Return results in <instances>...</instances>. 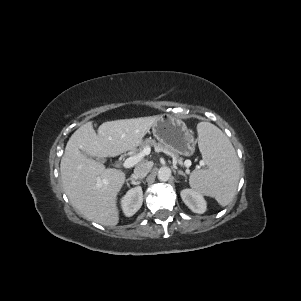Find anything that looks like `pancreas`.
<instances>
[{"label":"pancreas","instance_id":"obj_1","mask_svg":"<svg viewBox=\"0 0 301 301\" xmlns=\"http://www.w3.org/2000/svg\"><path fill=\"white\" fill-rule=\"evenodd\" d=\"M146 147H154L155 149H158V150H164V151H167L169 152L171 155H173L179 162H182V159L181 158H178L177 154L174 153L172 150H170L168 147L162 145L161 143H157L155 140L153 139H146L145 141H143L141 144H140V148L141 149H144Z\"/></svg>","mask_w":301,"mask_h":301}]
</instances>
